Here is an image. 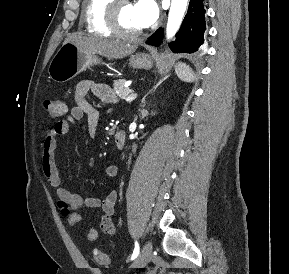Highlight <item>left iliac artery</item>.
Instances as JSON below:
<instances>
[{
    "label": "left iliac artery",
    "instance_id": "44dca946",
    "mask_svg": "<svg viewBox=\"0 0 289 274\" xmlns=\"http://www.w3.org/2000/svg\"><path fill=\"white\" fill-rule=\"evenodd\" d=\"M138 255H139V244L137 241H135V248L131 256V260H134Z\"/></svg>",
    "mask_w": 289,
    "mask_h": 274
}]
</instances>
